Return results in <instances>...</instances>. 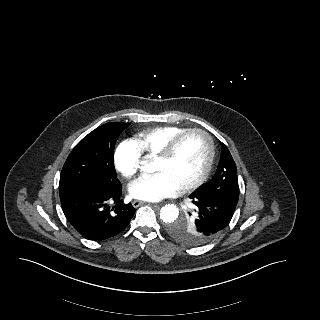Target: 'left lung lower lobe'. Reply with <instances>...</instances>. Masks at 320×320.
<instances>
[{"instance_id":"1","label":"left lung lower lobe","mask_w":320,"mask_h":320,"mask_svg":"<svg viewBox=\"0 0 320 320\" xmlns=\"http://www.w3.org/2000/svg\"><path fill=\"white\" fill-rule=\"evenodd\" d=\"M190 199L199 211L201 233L207 241L218 237L230 222L236 205L195 190Z\"/></svg>"}]
</instances>
